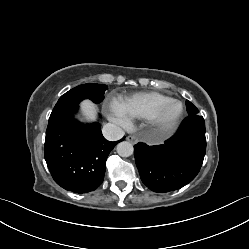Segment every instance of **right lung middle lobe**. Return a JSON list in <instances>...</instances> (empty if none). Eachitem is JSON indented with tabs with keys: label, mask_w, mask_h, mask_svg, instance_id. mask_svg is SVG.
I'll return each instance as SVG.
<instances>
[{
	"label": "right lung middle lobe",
	"mask_w": 249,
	"mask_h": 249,
	"mask_svg": "<svg viewBox=\"0 0 249 249\" xmlns=\"http://www.w3.org/2000/svg\"><path fill=\"white\" fill-rule=\"evenodd\" d=\"M107 86L104 84H83L79 85L60 97L50 117L57 115L63 110L77 107L80 101L90 99L94 103H100L104 99V92Z\"/></svg>",
	"instance_id": "1"
}]
</instances>
